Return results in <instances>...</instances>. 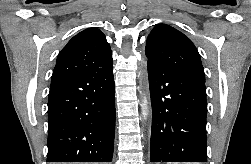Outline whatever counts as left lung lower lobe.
Here are the masks:
<instances>
[{"label": "left lung lower lobe", "mask_w": 251, "mask_h": 164, "mask_svg": "<svg viewBox=\"0 0 251 164\" xmlns=\"http://www.w3.org/2000/svg\"><path fill=\"white\" fill-rule=\"evenodd\" d=\"M152 104L151 162H206V87L180 71L147 63Z\"/></svg>", "instance_id": "0a47b994"}]
</instances>
